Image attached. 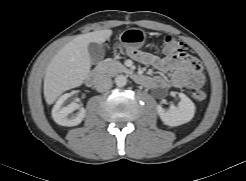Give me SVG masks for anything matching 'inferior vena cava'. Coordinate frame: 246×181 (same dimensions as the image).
<instances>
[{"label":"inferior vena cava","mask_w":246,"mask_h":181,"mask_svg":"<svg viewBox=\"0 0 246 181\" xmlns=\"http://www.w3.org/2000/svg\"><path fill=\"white\" fill-rule=\"evenodd\" d=\"M112 87V80L109 77H100L95 84V88L98 92H104Z\"/></svg>","instance_id":"inferior-vena-cava-1"}]
</instances>
